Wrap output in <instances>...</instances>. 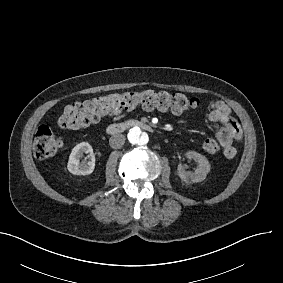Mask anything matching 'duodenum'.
<instances>
[{
    "label": "duodenum",
    "mask_w": 283,
    "mask_h": 283,
    "mask_svg": "<svg viewBox=\"0 0 283 283\" xmlns=\"http://www.w3.org/2000/svg\"><path fill=\"white\" fill-rule=\"evenodd\" d=\"M135 127L148 132L153 131L152 125H150L147 122L138 121V120H127V121L111 124L107 127L106 131L108 134L115 135Z\"/></svg>",
    "instance_id": "410a0bca"
}]
</instances>
